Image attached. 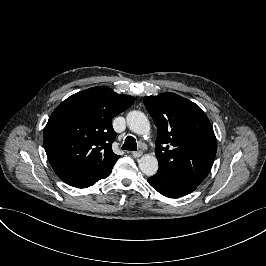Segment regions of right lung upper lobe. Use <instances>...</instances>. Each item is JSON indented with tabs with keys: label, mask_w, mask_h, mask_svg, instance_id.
Listing matches in <instances>:
<instances>
[{
	"label": "right lung upper lobe",
	"mask_w": 266,
	"mask_h": 266,
	"mask_svg": "<svg viewBox=\"0 0 266 266\" xmlns=\"http://www.w3.org/2000/svg\"><path fill=\"white\" fill-rule=\"evenodd\" d=\"M135 99L107 87L78 92L51 114L43 134L48 160L65 183L82 188L110 175L119 155L112 119Z\"/></svg>",
	"instance_id": "cb5924a9"
}]
</instances>
